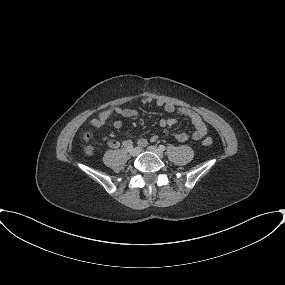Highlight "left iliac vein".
Wrapping results in <instances>:
<instances>
[{
	"instance_id": "left-iliac-vein-1",
	"label": "left iliac vein",
	"mask_w": 285,
	"mask_h": 285,
	"mask_svg": "<svg viewBox=\"0 0 285 285\" xmlns=\"http://www.w3.org/2000/svg\"><path fill=\"white\" fill-rule=\"evenodd\" d=\"M147 149H148L150 152L156 154V155H157L158 157H160V158H163V157H164L163 152H162L159 148H157V147H155V146H148Z\"/></svg>"
}]
</instances>
